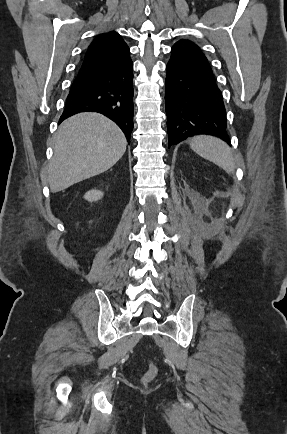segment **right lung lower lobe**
Instances as JSON below:
<instances>
[{
    "label": "right lung lower lobe",
    "mask_w": 287,
    "mask_h": 434,
    "mask_svg": "<svg viewBox=\"0 0 287 434\" xmlns=\"http://www.w3.org/2000/svg\"><path fill=\"white\" fill-rule=\"evenodd\" d=\"M85 111L98 112L113 120L130 142L134 113L133 63L130 53L80 67L67 96L60 122Z\"/></svg>",
    "instance_id": "98d812e1"
}]
</instances>
